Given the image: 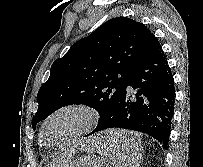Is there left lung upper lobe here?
Masks as SVG:
<instances>
[{
	"label": "left lung upper lobe",
	"mask_w": 203,
	"mask_h": 167,
	"mask_svg": "<svg viewBox=\"0 0 203 167\" xmlns=\"http://www.w3.org/2000/svg\"><path fill=\"white\" fill-rule=\"evenodd\" d=\"M157 38L140 22L127 17L108 20L55 60L49 79L37 94L32 127L62 106L84 104L96 109V128L110 117L132 68L151 50Z\"/></svg>",
	"instance_id": "obj_1"
}]
</instances>
